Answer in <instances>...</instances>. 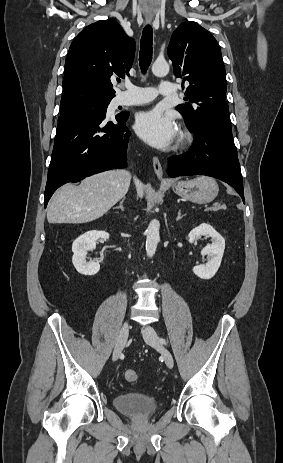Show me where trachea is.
<instances>
[{"label":"trachea","mask_w":283,"mask_h":463,"mask_svg":"<svg viewBox=\"0 0 283 463\" xmlns=\"http://www.w3.org/2000/svg\"><path fill=\"white\" fill-rule=\"evenodd\" d=\"M153 35L152 27L146 25L143 29V34L141 37V46L139 54V65L143 74L146 73L151 61L153 53Z\"/></svg>","instance_id":"1"}]
</instances>
